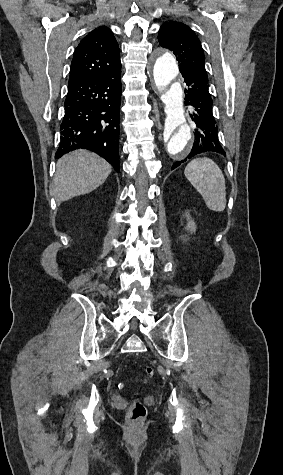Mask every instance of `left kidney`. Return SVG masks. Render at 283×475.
Listing matches in <instances>:
<instances>
[{
    "label": "left kidney",
    "mask_w": 283,
    "mask_h": 475,
    "mask_svg": "<svg viewBox=\"0 0 283 475\" xmlns=\"http://www.w3.org/2000/svg\"><path fill=\"white\" fill-rule=\"evenodd\" d=\"M185 218L187 220V226H186V230H188L189 234H194V232H196V224L194 222V220H192L189 212H186L185 214ZM182 239H189L188 236H182Z\"/></svg>",
    "instance_id": "left-kidney-1"
}]
</instances>
